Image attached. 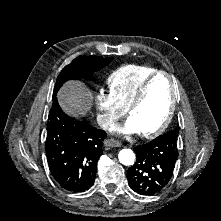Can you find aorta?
Here are the masks:
<instances>
[{
	"instance_id": "1",
	"label": "aorta",
	"mask_w": 221,
	"mask_h": 221,
	"mask_svg": "<svg viewBox=\"0 0 221 221\" xmlns=\"http://www.w3.org/2000/svg\"><path fill=\"white\" fill-rule=\"evenodd\" d=\"M118 158L120 163L130 166L134 164L135 154L131 149H122L118 154Z\"/></svg>"
}]
</instances>
